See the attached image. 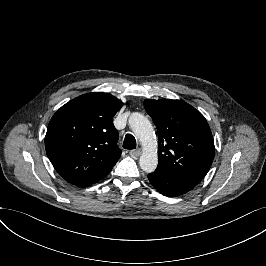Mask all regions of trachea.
<instances>
[{
    "instance_id": "trachea-1",
    "label": "trachea",
    "mask_w": 266,
    "mask_h": 266,
    "mask_svg": "<svg viewBox=\"0 0 266 266\" xmlns=\"http://www.w3.org/2000/svg\"><path fill=\"white\" fill-rule=\"evenodd\" d=\"M123 148L127 150H132L136 148L135 137L131 134H127L124 139Z\"/></svg>"
}]
</instances>
